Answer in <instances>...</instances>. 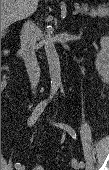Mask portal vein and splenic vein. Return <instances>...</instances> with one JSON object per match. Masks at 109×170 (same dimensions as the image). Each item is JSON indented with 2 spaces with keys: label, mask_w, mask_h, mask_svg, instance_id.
<instances>
[{
  "label": "portal vein and splenic vein",
  "mask_w": 109,
  "mask_h": 170,
  "mask_svg": "<svg viewBox=\"0 0 109 170\" xmlns=\"http://www.w3.org/2000/svg\"><path fill=\"white\" fill-rule=\"evenodd\" d=\"M78 13V10L76 9L75 11H73V14L76 15ZM62 18H64V16H62Z\"/></svg>",
  "instance_id": "obj_1"
}]
</instances>
